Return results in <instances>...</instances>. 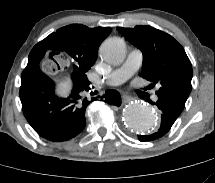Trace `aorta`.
<instances>
[{"mask_svg":"<svg viewBox=\"0 0 215 183\" xmlns=\"http://www.w3.org/2000/svg\"><path fill=\"white\" fill-rule=\"evenodd\" d=\"M125 54V42L118 37L106 39L100 47V55L110 64L117 65L121 63ZM122 118L130 130L145 134L155 131L159 123L156 112L149 105L140 102L126 106Z\"/></svg>","mask_w":215,"mask_h":183,"instance_id":"1","label":"aorta"}]
</instances>
